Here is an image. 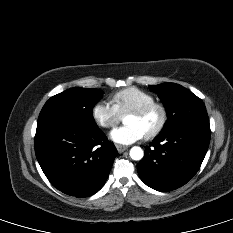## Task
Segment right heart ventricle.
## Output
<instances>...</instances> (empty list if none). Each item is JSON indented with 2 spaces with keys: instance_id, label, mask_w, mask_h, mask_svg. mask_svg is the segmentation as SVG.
Listing matches in <instances>:
<instances>
[{
  "instance_id": "obj_1",
  "label": "right heart ventricle",
  "mask_w": 233,
  "mask_h": 233,
  "mask_svg": "<svg viewBox=\"0 0 233 233\" xmlns=\"http://www.w3.org/2000/svg\"><path fill=\"white\" fill-rule=\"evenodd\" d=\"M153 101L155 98L151 93L136 87L119 90L112 96V104L121 116Z\"/></svg>"
}]
</instances>
